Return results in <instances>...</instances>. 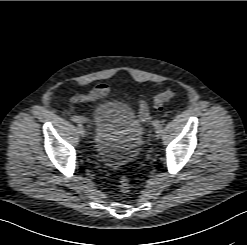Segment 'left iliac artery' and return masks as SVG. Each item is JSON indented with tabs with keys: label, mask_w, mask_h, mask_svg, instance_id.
I'll return each mask as SVG.
<instances>
[{
	"label": "left iliac artery",
	"mask_w": 247,
	"mask_h": 245,
	"mask_svg": "<svg viewBox=\"0 0 247 245\" xmlns=\"http://www.w3.org/2000/svg\"><path fill=\"white\" fill-rule=\"evenodd\" d=\"M153 124H154L155 127H162V122L159 121V120L154 121Z\"/></svg>",
	"instance_id": "obj_1"
}]
</instances>
